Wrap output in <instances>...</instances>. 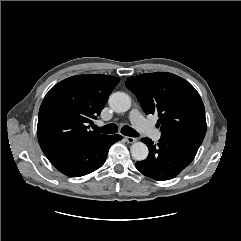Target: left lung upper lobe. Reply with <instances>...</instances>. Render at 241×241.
<instances>
[{
  "label": "left lung upper lobe",
  "mask_w": 241,
  "mask_h": 241,
  "mask_svg": "<svg viewBox=\"0 0 241 241\" xmlns=\"http://www.w3.org/2000/svg\"><path fill=\"white\" fill-rule=\"evenodd\" d=\"M126 87L137 97L145 114H158L162 137L203 140L205 109L199 93L183 78L165 72L129 77Z\"/></svg>",
  "instance_id": "obj_1"
}]
</instances>
